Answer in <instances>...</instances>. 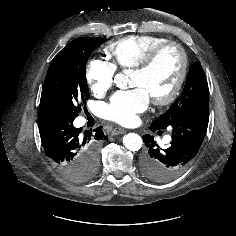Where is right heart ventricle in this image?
Wrapping results in <instances>:
<instances>
[{
	"instance_id": "1",
	"label": "right heart ventricle",
	"mask_w": 236,
	"mask_h": 236,
	"mask_svg": "<svg viewBox=\"0 0 236 236\" xmlns=\"http://www.w3.org/2000/svg\"><path fill=\"white\" fill-rule=\"evenodd\" d=\"M167 41L158 35H129L109 43L105 53L115 68H134L150 50Z\"/></svg>"
}]
</instances>
